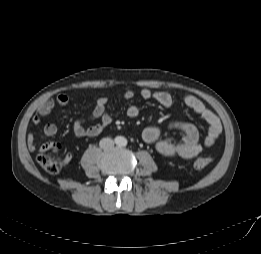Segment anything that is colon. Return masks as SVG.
Segmentation results:
<instances>
[{"mask_svg": "<svg viewBox=\"0 0 261 254\" xmlns=\"http://www.w3.org/2000/svg\"><path fill=\"white\" fill-rule=\"evenodd\" d=\"M37 161L39 165L50 174L58 173L64 164V160L59 155L57 148L53 145L40 147L37 154ZM213 161L214 157L212 155H203L195 159L194 167L196 169H202L210 165Z\"/></svg>", "mask_w": 261, "mask_h": 254, "instance_id": "5ec220e1", "label": "colon"}]
</instances>
